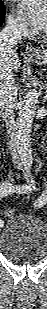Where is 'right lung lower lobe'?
<instances>
[{
    "label": "right lung lower lobe",
    "mask_w": 47,
    "mask_h": 309,
    "mask_svg": "<svg viewBox=\"0 0 47 309\" xmlns=\"http://www.w3.org/2000/svg\"><path fill=\"white\" fill-rule=\"evenodd\" d=\"M5 15V14H4ZM4 15H0V26L2 25L3 21H4Z\"/></svg>",
    "instance_id": "right-lung-lower-lobe-1"
}]
</instances>
